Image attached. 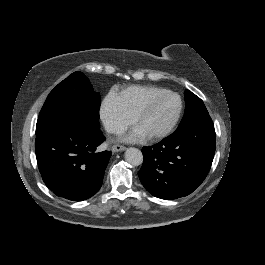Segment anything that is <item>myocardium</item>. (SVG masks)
Here are the masks:
<instances>
[{"mask_svg":"<svg viewBox=\"0 0 265 265\" xmlns=\"http://www.w3.org/2000/svg\"><path fill=\"white\" fill-rule=\"evenodd\" d=\"M161 93H168V94H171V95L177 97L179 100V109H178L176 115L169 122H167L163 126H161L156 132H154L150 135H146V137L150 140H154V139L161 138V137L165 136L175 126V124L179 121V119L182 115V112H183V108H184L183 98L180 94H178V93H176L170 89H158V90L154 91L145 100V102L141 105L139 110L135 113V116H134L135 124H137L139 117L147 111V109L149 108V106L151 105V103L153 102L155 97Z\"/></svg>","mask_w":265,"mask_h":265,"instance_id":"myocardium-1","label":"myocardium"}]
</instances>
